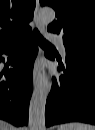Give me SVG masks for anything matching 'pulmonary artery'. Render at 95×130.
Here are the masks:
<instances>
[{
    "mask_svg": "<svg viewBox=\"0 0 95 130\" xmlns=\"http://www.w3.org/2000/svg\"><path fill=\"white\" fill-rule=\"evenodd\" d=\"M48 37H49V39H50L53 43H55V44L59 47L60 52H61L63 58H65V57H66V50H65V46H64V44H63L62 39H61L59 36H56V35H54V34H49Z\"/></svg>",
    "mask_w": 95,
    "mask_h": 130,
    "instance_id": "e3ab8cb5",
    "label": "pulmonary artery"
}]
</instances>
